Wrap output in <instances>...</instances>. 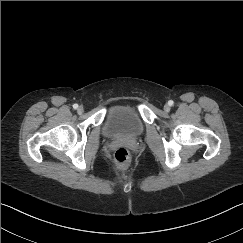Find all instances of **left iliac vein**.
<instances>
[{
    "instance_id": "left-iliac-vein-1",
    "label": "left iliac vein",
    "mask_w": 243,
    "mask_h": 243,
    "mask_svg": "<svg viewBox=\"0 0 243 243\" xmlns=\"http://www.w3.org/2000/svg\"><path fill=\"white\" fill-rule=\"evenodd\" d=\"M170 106L168 105V104H165L164 105V110L166 111V112H169L170 111Z\"/></svg>"
}]
</instances>
